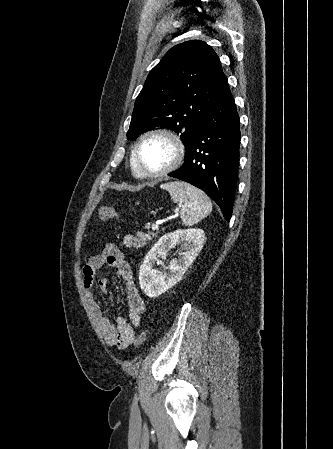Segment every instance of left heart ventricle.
Returning <instances> with one entry per match:
<instances>
[{"label":"left heart ventricle","instance_id":"left-heart-ventricle-1","mask_svg":"<svg viewBox=\"0 0 333 449\" xmlns=\"http://www.w3.org/2000/svg\"><path fill=\"white\" fill-rule=\"evenodd\" d=\"M170 142L161 137L147 139L140 148V161L147 171H157L164 168L172 159Z\"/></svg>","mask_w":333,"mask_h":449}]
</instances>
